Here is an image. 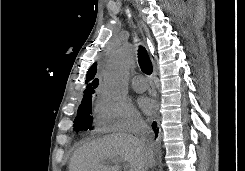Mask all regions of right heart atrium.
Instances as JSON below:
<instances>
[{"label": "right heart atrium", "instance_id": "d8ad5b80", "mask_svg": "<svg viewBox=\"0 0 245 171\" xmlns=\"http://www.w3.org/2000/svg\"><path fill=\"white\" fill-rule=\"evenodd\" d=\"M94 124L98 132H134L144 127L138 111L128 102L100 92L94 107Z\"/></svg>", "mask_w": 245, "mask_h": 171}]
</instances>
